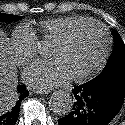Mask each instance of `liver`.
<instances>
[{"label":"liver","mask_w":125,"mask_h":125,"mask_svg":"<svg viewBox=\"0 0 125 125\" xmlns=\"http://www.w3.org/2000/svg\"><path fill=\"white\" fill-rule=\"evenodd\" d=\"M16 87L17 76L9 50V40L0 30V114L14 103Z\"/></svg>","instance_id":"6515ba94"}]
</instances>
